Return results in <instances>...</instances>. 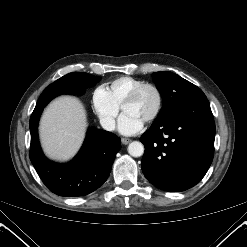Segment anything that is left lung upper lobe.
Wrapping results in <instances>:
<instances>
[{"label": "left lung upper lobe", "instance_id": "obj_1", "mask_svg": "<svg viewBox=\"0 0 247 247\" xmlns=\"http://www.w3.org/2000/svg\"><path fill=\"white\" fill-rule=\"evenodd\" d=\"M152 79L163 98V106L157 118L169 117L186 103L206 98L200 88L172 72H155Z\"/></svg>", "mask_w": 247, "mask_h": 247}]
</instances>
